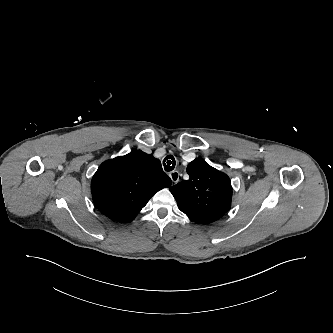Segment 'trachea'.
<instances>
[{
    "label": "trachea",
    "instance_id": "obj_1",
    "mask_svg": "<svg viewBox=\"0 0 333 333\" xmlns=\"http://www.w3.org/2000/svg\"><path fill=\"white\" fill-rule=\"evenodd\" d=\"M163 166H164L165 171H167V172L172 171L176 166V161H175L174 156L167 155L163 160Z\"/></svg>",
    "mask_w": 333,
    "mask_h": 333
}]
</instances>
